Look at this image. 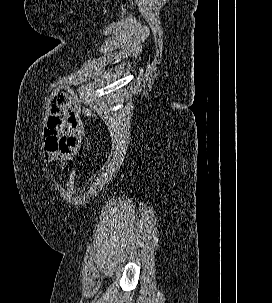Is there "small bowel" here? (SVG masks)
<instances>
[{"label":"small bowel","mask_w":272,"mask_h":303,"mask_svg":"<svg viewBox=\"0 0 272 303\" xmlns=\"http://www.w3.org/2000/svg\"><path fill=\"white\" fill-rule=\"evenodd\" d=\"M85 135L81 109L75 101L58 95L53 99L44 129V156L65 163L78 152Z\"/></svg>","instance_id":"1"}]
</instances>
